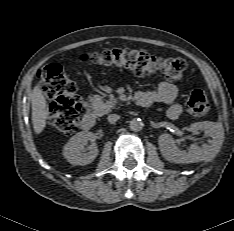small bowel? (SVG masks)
<instances>
[{"instance_id": "c3829d8e", "label": "small bowel", "mask_w": 234, "mask_h": 231, "mask_svg": "<svg viewBox=\"0 0 234 231\" xmlns=\"http://www.w3.org/2000/svg\"><path fill=\"white\" fill-rule=\"evenodd\" d=\"M138 94V93H137ZM153 103H163L168 105L167 116L175 120L182 113V107L176 102L178 89L175 85L167 82L160 83L155 90L139 92ZM150 104V105H151Z\"/></svg>"}]
</instances>
